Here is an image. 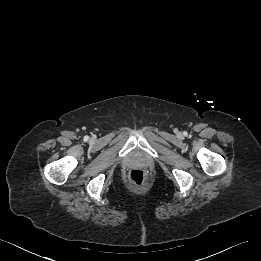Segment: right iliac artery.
Here are the masks:
<instances>
[{
	"instance_id": "obj_1",
	"label": "right iliac artery",
	"mask_w": 261,
	"mask_h": 261,
	"mask_svg": "<svg viewBox=\"0 0 261 261\" xmlns=\"http://www.w3.org/2000/svg\"><path fill=\"white\" fill-rule=\"evenodd\" d=\"M88 138H89L88 136H85V137H84V140H88Z\"/></svg>"
}]
</instances>
